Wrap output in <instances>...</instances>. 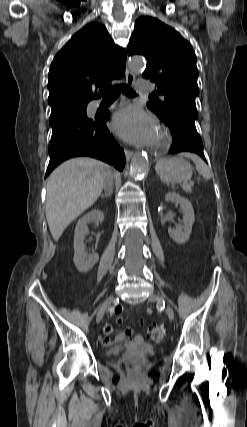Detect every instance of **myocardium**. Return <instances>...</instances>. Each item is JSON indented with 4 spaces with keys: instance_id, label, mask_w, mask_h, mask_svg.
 <instances>
[{
    "instance_id": "myocardium-1",
    "label": "myocardium",
    "mask_w": 247,
    "mask_h": 427,
    "mask_svg": "<svg viewBox=\"0 0 247 427\" xmlns=\"http://www.w3.org/2000/svg\"><path fill=\"white\" fill-rule=\"evenodd\" d=\"M170 142H171V136L169 132L164 129H161L158 133L154 147L156 150L160 151L168 147Z\"/></svg>"
}]
</instances>
